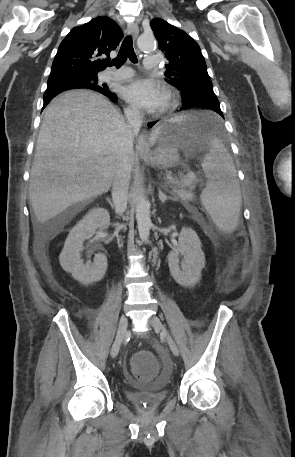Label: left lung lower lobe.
Returning a JSON list of instances; mask_svg holds the SVG:
<instances>
[{"label":"left lung lower lobe","mask_w":295,"mask_h":457,"mask_svg":"<svg viewBox=\"0 0 295 457\" xmlns=\"http://www.w3.org/2000/svg\"><path fill=\"white\" fill-rule=\"evenodd\" d=\"M193 107H204L211 109L217 112L223 117L222 111L220 109V104L217 98L205 97L202 99H196L184 105V109L193 108ZM156 122H152L149 126H153ZM212 129V126L209 125V130Z\"/></svg>","instance_id":"0a47b994"}]
</instances>
